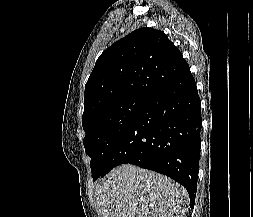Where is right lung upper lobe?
<instances>
[{
  "label": "right lung upper lobe",
  "mask_w": 253,
  "mask_h": 217,
  "mask_svg": "<svg viewBox=\"0 0 253 217\" xmlns=\"http://www.w3.org/2000/svg\"><path fill=\"white\" fill-rule=\"evenodd\" d=\"M187 65L166 34L137 29L108 47L85 85L82 123L100 109L129 97L149 98Z\"/></svg>",
  "instance_id": "obj_1"
}]
</instances>
